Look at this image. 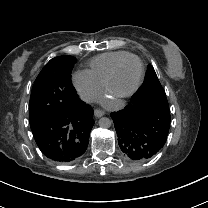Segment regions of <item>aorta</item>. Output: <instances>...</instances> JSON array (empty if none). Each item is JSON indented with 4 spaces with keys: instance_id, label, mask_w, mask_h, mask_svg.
Segmentation results:
<instances>
[{
    "instance_id": "obj_1",
    "label": "aorta",
    "mask_w": 208,
    "mask_h": 208,
    "mask_svg": "<svg viewBox=\"0 0 208 208\" xmlns=\"http://www.w3.org/2000/svg\"><path fill=\"white\" fill-rule=\"evenodd\" d=\"M98 124L101 128H109L111 126V120L109 118L103 117L98 121Z\"/></svg>"
}]
</instances>
